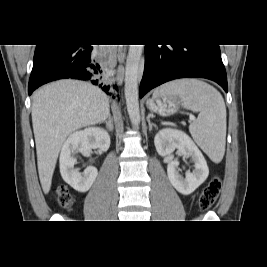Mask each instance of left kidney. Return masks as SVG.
I'll list each match as a JSON object with an SVG mask.
<instances>
[{
    "mask_svg": "<svg viewBox=\"0 0 267 267\" xmlns=\"http://www.w3.org/2000/svg\"><path fill=\"white\" fill-rule=\"evenodd\" d=\"M154 144L160 155L168 157L167 174L174 188L183 195L193 193L208 177L209 169L207 162L192 141L184 132L175 129H162L154 138ZM178 152L184 156L191 157L194 162V170L186 174L185 178L177 170L179 162L173 160L172 153Z\"/></svg>",
    "mask_w": 267,
    "mask_h": 267,
    "instance_id": "left-kidney-1",
    "label": "left kidney"
}]
</instances>
